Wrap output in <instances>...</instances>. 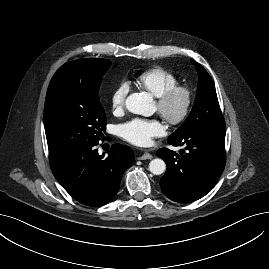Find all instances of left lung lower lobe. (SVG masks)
<instances>
[{
    "label": "left lung lower lobe",
    "instance_id": "0a47b994",
    "mask_svg": "<svg viewBox=\"0 0 269 269\" xmlns=\"http://www.w3.org/2000/svg\"><path fill=\"white\" fill-rule=\"evenodd\" d=\"M225 126L198 127L168 143L184 146L180 154L161 148L156 155L167 165L160 180L169 199L187 203L205 196L216 184L225 167Z\"/></svg>",
    "mask_w": 269,
    "mask_h": 269
}]
</instances>
